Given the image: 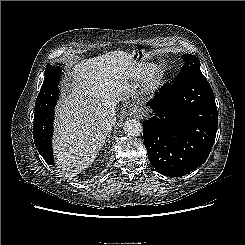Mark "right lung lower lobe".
I'll return each mask as SVG.
<instances>
[{"mask_svg": "<svg viewBox=\"0 0 245 245\" xmlns=\"http://www.w3.org/2000/svg\"><path fill=\"white\" fill-rule=\"evenodd\" d=\"M53 117L48 119L34 118L33 123V138L36 148L44 160L50 165H53L54 163L51 143L53 134Z\"/></svg>", "mask_w": 245, "mask_h": 245, "instance_id": "obj_1", "label": "right lung lower lobe"}]
</instances>
